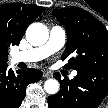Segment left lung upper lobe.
Masks as SVG:
<instances>
[{
  "label": "left lung upper lobe",
  "instance_id": "5c2ea615",
  "mask_svg": "<svg viewBox=\"0 0 108 108\" xmlns=\"http://www.w3.org/2000/svg\"><path fill=\"white\" fill-rule=\"evenodd\" d=\"M54 16L65 26L67 45L62 59L71 57L67 67L77 72L108 69V30L81 8L53 10Z\"/></svg>",
  "mask_w": 108,
  "mask_h": 108
}]
</instances>
